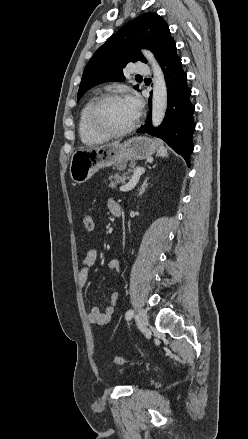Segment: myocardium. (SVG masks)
Instances as JSON below:
<instances>
[{"label":"myocardium","instance_id":"myocardium-1","mask_svg":"<svg viewBox=\"0 0 248 439\" xmlns=\"http://www.w3.org/2000/svg\"><path fill=\"white\" fill-rule=\"evenodd\" d=\"M125 99L123 95L118 93H110L105 94L96 99V101L92 104L89 114L88 121L90 127L97 133L102 134L107 137H122L132 133L139 124V113L137 114L134 122L125 129L122 130H113L106 127L100 119V113L103 107L114 100Z\"/></svg>","mask_w":248,"mask_h":439}]
</instances>
